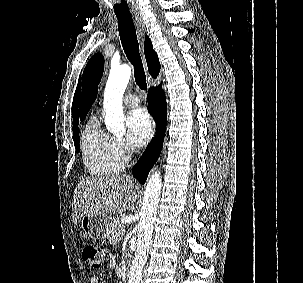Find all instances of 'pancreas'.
<instances>
[{
    "label": "pancreas",
    "mask_w": 303,
    "mask_h": 283,
    "mask_svg": "<svg viewBox=\"0 0 303 283\" xmlns=\"http://www.w3.org/2000/svg\"><path fill=\"white\" fill-rule=\"evenodd\" d=\"M124 229V226L119 222V220H114L110 234L108 236V240L112 244H116L120 242L121 237L123 235L122 230Z\"/></svg>",
    "instance_id": "cf45deb5"
}]
</instances>
